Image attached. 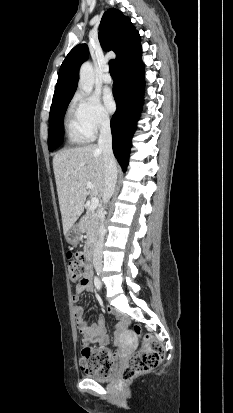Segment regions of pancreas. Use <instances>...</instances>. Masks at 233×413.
Instances as JSON below:
<instances>
[{"instance_id": "pancreas-1", "label": "pancreas", "mask_w": 233, "mask_h": 413, "mask_svg": "<svg viewBox=\"0 0 233 413\" xmlns=\"http://www.w3.org/2000/svg\"><path fill=\"white\" fill-rule=\"evenodd\" d=\"M98 216L93 211L86 212L79 222L81 232L86 233L87 241L94 242L98 236Z\"/></svg>"}]
</instances>
